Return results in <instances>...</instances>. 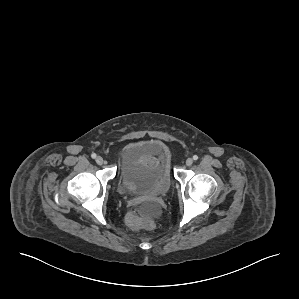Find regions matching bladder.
I'll use <instances>...</instances> for the list:
<instances>
[{"instance_id": "1", "label": "bladder", "mask_w": 299, "mask_h": 299, "mask_svg": "<svg viewBox=\"0 0 299 299\" xmlns=\"http://www.w3.org/2000/svg\"><path fill=\"white\" fill-rule=\"evenodd\" d=\"M171 187L164 146L158 141H138L124 152L118 189L124 195H165Z\"/></svg>"}]
</instances>
